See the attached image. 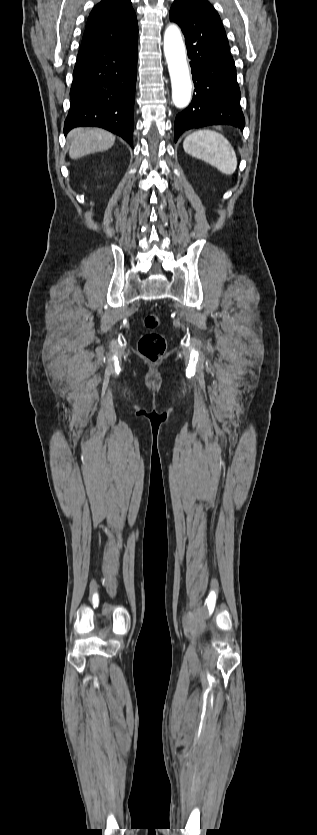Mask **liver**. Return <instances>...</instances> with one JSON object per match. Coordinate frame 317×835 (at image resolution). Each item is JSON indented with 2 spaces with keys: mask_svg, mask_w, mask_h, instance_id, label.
Segmentation results:
<instances>
[{
  "mask_svg": "<svg viewBox=\"0 0 317 835\" xmlns=\"http://www.w3.org/2000/svg\"><path fill=\"white\" fill-rule=\"evenodd\" d=\"M68 139L70 140L69 156L71 159L106 151L115 143L113 134L96 128H75L69 132Z\"/></svg>",
  "mask_w": 317,
  "mask_h": 835,
  "instance_id": "obj_1",
  "label": "liver"
}]
</instances>
